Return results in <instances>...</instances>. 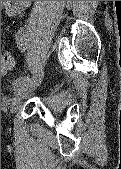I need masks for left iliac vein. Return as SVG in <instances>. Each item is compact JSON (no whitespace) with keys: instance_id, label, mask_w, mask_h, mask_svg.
Instances as JSON below:
<instances>
[{"instance_id":"obj_1","label":"left iliac vein","mask_w":121,"mask_h":169,"mask_svg":"<svg viewBox=\"0 0 121 169\" xmlns=\"http://www.w3.org/2000/svg\"><path fill=\"white\" fill-rule=\"evenodd\" d=\"M41 77H34L26 84L20 86L14 94L13 104L11 111L15 112L20 101L30 92H32L35 88H37L41 83Z\"/></svg>"}]
</instances>
